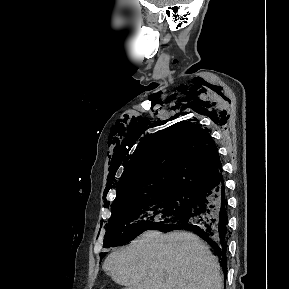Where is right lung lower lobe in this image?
<instances>
[{"mask_svg":"<svg viewBox=\"0 0 289 289\" xmlns=\"http://www.w3.org/2000/svg\"><path fill=\"white\" fill-rule=\"evenodd\" d=\"M227 199L223 176L193 191V199L185 213L170 218L156 228L162 232L184 229L193 231L215 251L224 276L227 274Z\"/></svg>","mask_w":289,"mask_h":289,"instance_id":"right-lung-lower-lobe-1","label":"right lung lower lobe"}]
</instances>
